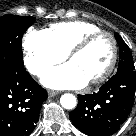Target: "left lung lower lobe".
I'll return each instance as SVG.
<instances>
[{
  "mask_svg": "<svg viewBox=\"0 0 136 136\" xmlns=\"http://www.w3.org/2000/svg\"><path fill=\"white\" fill-rule=\"evenodd\" d=\"M136 71L115 74L97 93L79 95V103L69 113L73 124L91 136L114 134L131 112Z\"/></svg>",
  "mask_w": 136,
  "mask_h": 136,
  "instance_id": "1",
  "label": "left lung lower lobe"
}]
</instances>
